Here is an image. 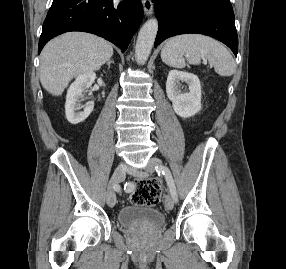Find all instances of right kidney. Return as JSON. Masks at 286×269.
<instances>
[{
	"instance_id": "ca27d5eb",
	"label": "right kidney",
	"mask_w": 286,
	"mask_h": 269,
	"mask_svg": "<svg viewBox=\"0 0 286 269\" xmlns=\"http://www.w3.org/2000/svg\"><path fill=\"white\" fill-rule=\"evenodd\" d=\"M96 74L92 71L79 75L75 81L70 85L65 103L66 118L71 124H78L83 122L93 111L94 102L89 101L85 105H81L80 99H84L83 93L91 87L95 81ZM91 95V92L89 93ZM83 108L82 112H78Z\"/></svg>"
}]
</instances>
